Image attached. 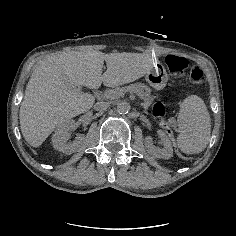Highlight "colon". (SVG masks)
Instances as JSON below:
<instances>
[{
  "instance_id": "obj_1",
  "label": "colon",
  "mask_w": 236,
  "mask_h": 236,
  "mask_svg": "<svg viewBox=\"0 0 236 236\" xmlns=\"http://www.w3.org/2000/svg\"><path fill=\"white\" fill-rule=\"evenodd\" d=\"M165 63L170 72L173 74L181 75L188 68V60L179 55L168 54L165 58ZM189 79L196 84H200L204 81V72L201 66L195 64L189 71ZM152 114L155 118L161 119L166 114V106L160 101H156L152 107Z\"/></svg>"
}]
</instances>
